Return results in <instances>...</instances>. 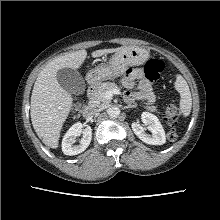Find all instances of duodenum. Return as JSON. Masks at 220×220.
Segmentation results:
<instances>
[{
	"instance_id": "410a0bca",
	"label": "duodenum",
	"mask_w": 220,
	"mask_h": 220,
	"mask_svg": "<svg viewBox=\"0 0 220 220\" xmlns=\"http://www.w3.org/2000/svg\"><path fill=\"white\" fill-rule=\"evenodd\" d=\"M94 86L93 85H89L88 87V96H89V101H88V104L86 105L85 107V110H84V115L86 117H90L94 110H95V99H94Z\"/></svg>"
}]
</instances>
